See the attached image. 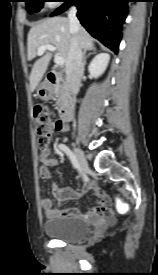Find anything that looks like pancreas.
Wrapping results in <instances>:
<instances>
[{"mask_svg": "<svg viewBox=\"0 0 158 275\" xmlns=\"http://www.w3.org/2000/svg\"><path fill=\"white\" fill-rule=\"evenodd\" d=\"M54 95L57 99V105H61L62 102L67 99L68 86L62 78H59L57 83L54 85Z\"/></svg>", "mask_w": 158, "mask_h": 275, "instance_id": "pancreas-1", "label": "pancreas"}]
</instances>
